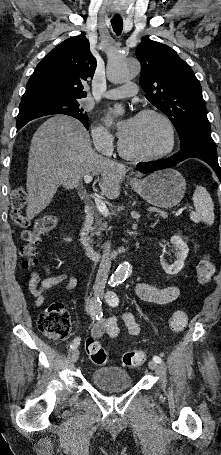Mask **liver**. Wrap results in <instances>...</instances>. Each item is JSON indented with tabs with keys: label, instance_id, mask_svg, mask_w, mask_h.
I'll return each instance as SVG.
<instances>
[{
	"label": "liver",
	"instance_id": "6515ba94",
	"mask_svg": "<svg viewBox=\"0 0 221 455\" xmlns=\"http://www.w3.org/2000/svg\"><path fill=\"white\" fill-rule=\"evenodd\" d=\"M126 166L96 153L89 132L80 121L66 115L47 119L31 140L27 168V207L29 219L52 201L59 186L78 187L85 175H101L99 187L109 199L120 195Z\"/></svg>",
	"mask_w": 221,
	"mask_h": 455
}]
</instances>
